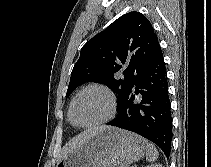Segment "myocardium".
<instances>
[{
	"instance_id": "1",
	"label": "myocardium",
	"mask_w": 211,
	"mask_h": 167,
	"mask_svg": "<svg viewBox=\"0 0 211 167\" xmlns=\"http://www.w3.org/2000/svg\"><path fill=\"white\" fill-rule=\"evenodd\" d=\"M89 90H99V91L104 92L107 95L109 102H110V111H109L108 115L101 120H98L93 123L85 124V125H80V124L76 123L75 120L73 119V108H74V105H75V102L77 101V99L83 93H85L86 91H89ZM116 109H117V100H116L115 94L113 93V91L110 88H108L107 86L102 85V84H89V85L85 86L84 88H82L80 91H78L77 94L73 97V99L70 103L68 117H69L70 122L75 127L81 128V129H86V128L100 126V125H103V124L109 122L115 116Z\"/></svg>"
}]
</instances>
